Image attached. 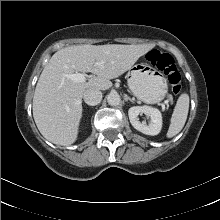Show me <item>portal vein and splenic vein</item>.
Instances as JSON below:
<instances>
[{
	"instance_id": "1",
	"label": "portal vein and splenic vein",
	"mask_w": 220,
	"mask_h": 220,
	"mask_svg": "<svg viewBox=\"0 0 220 220\" xmlns=\"http://www.w3.org/2000/svg\"><path fill=\"white\" fill-rule=\"evenodd\" d=\"M102 63L96 62V65H101ZM64 77L67 79H71L74 82H85L86 81V75L83 73H73V74H64ZM162 108H165V104L161 103Z\"/></svg>"
}]
</instances>
